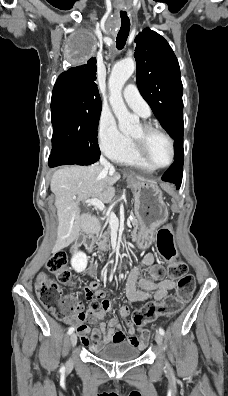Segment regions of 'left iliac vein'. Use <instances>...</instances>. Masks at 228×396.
Masks as SVG:
<instances>
[{
  "label": "left iliac vein",
  "instance_id": "1",
  "mask_svg": "<svg viewBox=\"0 0 228 396\" xmlns=\"http://www.w3.org/2000/svg\"><path fill=\"white\" fill-rule=\"evenodd\" d=\"M155 341L157 342L158 346L162 348L163 346V337L159 332L155 333Z\"/></svg>",
  "mask_w": 228,
  "mask_h": 396
}]
</instances>
